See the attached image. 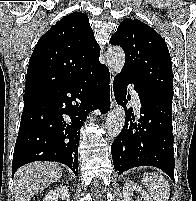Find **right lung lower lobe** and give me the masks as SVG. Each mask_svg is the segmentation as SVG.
Segmentation results:
<instances>
[{"label":"right lung lower lobe","instance_id":"1","mask_svg":"<svg viewBox=\"0 0 196 201\" xmlns=\"http://www.w3.org/2000/svg\"><path fill=\"white\" fill-rule=\"evenodd\" d=\"M12 175L33 161H53L78 173L80 128L93 109L110 108L109 71L100 62L76 78L25 93Z\"/></svg>","mask_w":196,"mask_h":201}]
</instances>
